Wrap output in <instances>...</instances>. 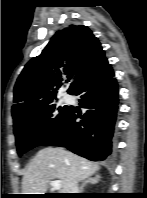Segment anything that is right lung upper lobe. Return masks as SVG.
I'll use <instances>...</instances> for the list:
<instances>
[{
  "label": "right lung upper lobe",
  "instance_id": "1",
  "mask_svg": "<svg viewBox=\"0 0 147 198\" xmlns=\"http://www.w3.org/2000/svg\"><path fill=\"white\" fill-rule=\"evenodd\" d=\"M107 61L98 39L83 25L57 31L42 53L24 67L14 87V122L56 100L64 77L71 80L69 94Z\"/></svg>",
  "mask_w": 147,
  "mask_h": 198
}]
</instances>
